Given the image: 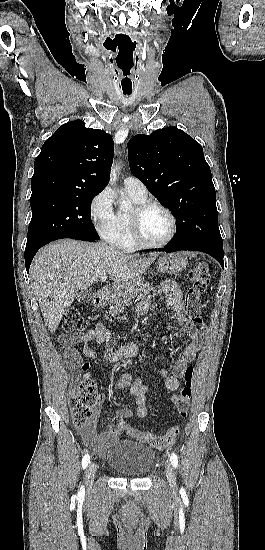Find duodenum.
<instances>
[{"label":"duodenum","instance_id":"duodenum-1","mask_svg":"<svg viewBox=\"0 0 265 550\" xmlns=\"http://www.w3.org/2000/svg\"><path fill=\"white\" fill-rule=\"evenodd\" d=\"M108 300V293L104 291H99L94 297V306L99 308L102 307Z\"/></svg>","mask_w":265,"mask_h":550}]
</instances>
